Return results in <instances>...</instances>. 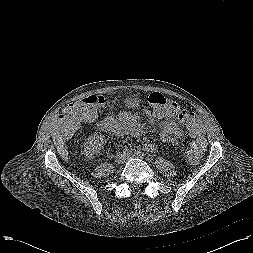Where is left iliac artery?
Instances as JSON below:
<instances>
[{"instance_id": "obj_1", "label": "left iliac artery", "mask_w": 253, "mask_h": 253, "mask_svg": "<svg viewBox=\"0 0 253 253\" xmlns=\"http://www.w3.org/2000/svg\"><path fill=\"white\" fill-rule=\"evenodd\" d=\"M135 154H136L137 156H143V155H144V153H143L142 151H140V150H137V151L135 152Z\"/></svg>"}]
</instances>
